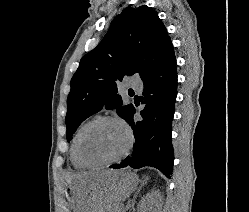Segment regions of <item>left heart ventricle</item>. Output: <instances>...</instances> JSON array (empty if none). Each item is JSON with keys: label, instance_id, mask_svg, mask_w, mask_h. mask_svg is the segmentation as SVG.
<instances>
[{"label": "left heart ventricle", "instance_id": "left-heart-ventricle-1", "mask_svg": "<svg viewBox=\"0 0 249 212\" xmlns=\"http://www.w3.org/2000/svg\"><path fill=\"white\" fill-rule=\"evenodd\" d=\"M127 143L124 130L117 124L106 122L92 128L81 146L84 158L89 162H104L118 156Z\"/></svg>", "mask_w": 249, "mask_h": 212}]
</instances>
